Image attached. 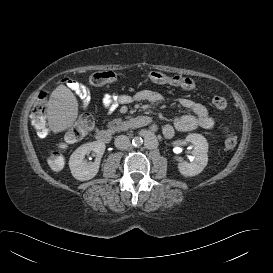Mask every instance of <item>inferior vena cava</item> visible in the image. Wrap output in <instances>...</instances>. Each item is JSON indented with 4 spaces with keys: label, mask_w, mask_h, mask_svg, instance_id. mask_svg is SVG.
I'll use <instances>...</instances> for the list:
<instances>
[{
    "label": "inferior vena cava",
    "mask_w": 273,
    "mask_h": 273,
    "mask_svg": "<svg viewBox=\"0 0 273 273\" xmlns=\"http://www.w3.org/2000/svg\"><path fill=\"white\" fill-rule=\"evenodd\" d=\"M114 144L118 149H126L130 144V140L126 135H119L115 138Z\"/></svg>",
    "instance_id": "obj_1"
}]
</instances>
